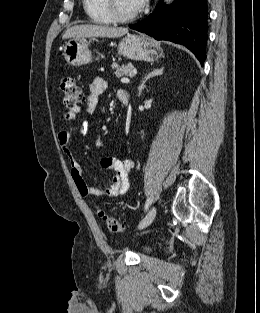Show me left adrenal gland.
Returning <instances> with one entry per match:
<instances>
[{
  "mask_svg": "<svg viewBox=\"0 0 260 313\" xmlns=\"http://www.w3.org/2000/svg\"><path fill=\"white\" fill-rule=\"evenodd\" d=\"M163 70L164 68L161 67L159 69H153L152 71H150L143 79V81L141 82V84L139 85L138 87V96L141 95L143 89L145 88V83L148 81V79H150L151 77H154V76H158V75H161L163 73Z\"/></svg>",
  "mask_w": 260,
  "mask_h": 313,
  "instance_id": "left-adrenal-gland-1",
  "label": "left adrenal gland"
}]
</instances>
